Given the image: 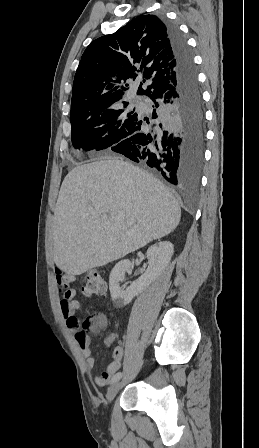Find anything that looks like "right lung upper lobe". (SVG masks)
<instances>
[{"label": "right lung upper lobe", "mask_w": 259, "mask_h": 448, "mask_svg": "<svg viewBox=\"0 0 259 448\" xmlns=\"http://www.w3.org/2000/svg\"><path fill=\"white\" fill-rule=\"evenodd\" d=\"M167 28L155 15H140L115 33L102 36L85 49L77 68L71 114L108 108L123 101L129 84L144 78L137 95L149 98L173 89L175 61Z\"/></svg>", "instance_id": "obj_1"}]
</instances>
